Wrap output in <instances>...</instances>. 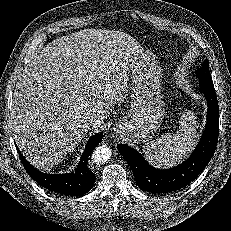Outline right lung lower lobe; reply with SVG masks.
Instances as JSON below:
<instances>
[{
	"mask_svg": "<svg viewBox=\"0 0 231 231\" xmlns=\"http://www.w3.org/2000/svg\"><path fill=\"white\" fill-rule=\"evenodd\" d=\"M103 134L92 136L86 146L82 158L75 173L68 174H45L34 168L17 148L21 162L27 173L44 188L73 196H81L87 193L94 185L95 174L88 168L87 159L91 151L102 140Z\"/></svg>",
	"mask_w": 231,
	"mask_h": 231,
	"instance_id": "98d812e1",
	"label": "right lung lower lobe"
}]
</instances>
